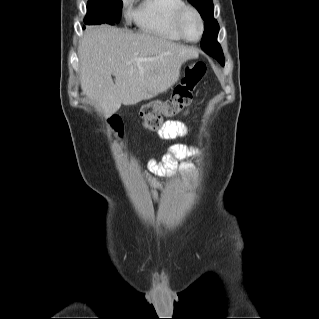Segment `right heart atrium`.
Returning <instances> with one entry per match:
<instances>
[{
	"label": "right heart atrium",
	"mask_w": 319,
	"mask_h": 319,
	"mask_svg": "<svg viewBox=\"0 0 319 319\" xmlns=\"http://www.w3.org/2000/svg\"><path fill=\"white\" fill-rule=\"evenodd\" d=\"M131 1H132V0H126V2H125V3L127 4V3L131 2Z\"/></svg>",
	"instance_id": "right-heart-atrium-1"
}]
</instances>
